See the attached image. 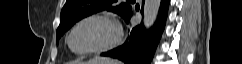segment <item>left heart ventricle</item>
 Returning a JSON list of instances; mask_svg holds the SVG:
<instances>
[{
  "label": "left heart ventricle",
  "mask_w": 242,
  "mask_h": 64,
  "mask_svg": "<svg viewBox=\"0 0 242 64\" xmlns=\"http://www.w3.org/2000/svg\"><path fill=\"white\" fill-rule=\"evenodd\" d=\"M114 35L115 30L111 24L100 20L89 21L74 32L71 44L74 50L82 51L105 44Z\"/></svg>",
  "instance_id": "1"
}]
</instances>
